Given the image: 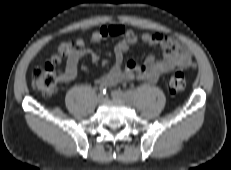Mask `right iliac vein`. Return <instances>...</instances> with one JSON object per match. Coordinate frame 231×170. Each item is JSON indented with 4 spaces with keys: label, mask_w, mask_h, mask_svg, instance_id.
I'll return each instance as SVG.
<instances>
[{
    "label": "right iliac vein",
    "mask_w": 231,
    "mask_h": 170,
    "mask_svg": "<svg viewBox=\"0 0 231 170\" xmlns=\"http://www.w3.org/2000/svg\"><path fill=\"white\" fill-rule=\"evenodd\" d=\"M104 100H105L104 95L99 94L98 97H97V101H98L99 103H101V102H103Z\"/></svg>",
    "instance_id": "63e3f726"
}]
</instances>
